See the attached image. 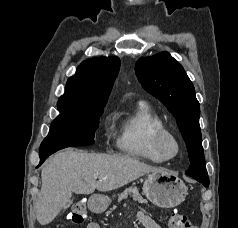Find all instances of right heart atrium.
Listing matches in <instances>:
<instances>
[{
    "mask_svg": "<svg viewBox=\"0 0 238 228\" xmlns=\"http://www.w3.org/2000/svg\"><path fill=\"white\" fill-rule=\"evenodd\" d=\"M107 134L108 136H111L113 134V130L110 127L107 128Z\"/></svg>",
    "mask_w": 238,
    "mask_h": 228,
    "instance_id": "1",
    "label": "right heart atrium"
}]
</instances>
